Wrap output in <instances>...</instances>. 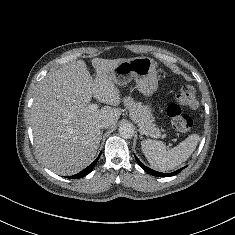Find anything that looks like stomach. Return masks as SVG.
Segmentation results:
<instances>
[{"instance_id":"obj_1","label":"stomach","mask_w":235,"mask_h":235,"mask_svg":"<svg viewBox=\"0 0 235 235\" xmlns=\"http://www.w3.org/2000/svg\"><path fill=\"white\" fill-rule=\"evenodd\" d=\"M112 75L118 86H125L134 79L139 92L146 96H151L158 87L156 65L149 57L123 59L114 67Z\"/></svg>"}]
</instances>
